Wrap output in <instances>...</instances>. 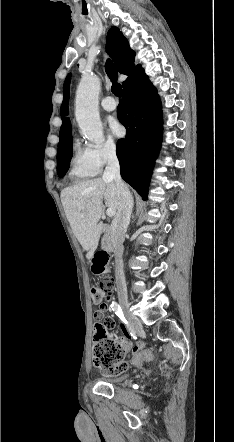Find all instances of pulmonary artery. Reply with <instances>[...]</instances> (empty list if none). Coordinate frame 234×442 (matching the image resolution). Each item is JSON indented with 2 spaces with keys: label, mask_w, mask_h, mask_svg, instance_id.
<instances>
[{
  "label": "pulmonary artery",
  "mask_w": 234,
  "mask_h": 442,
  "mask_svg": "<svg viewBox=\"0 0 234 442\" xmlns=\"http://www.w3.org/2000/svg\"><path fill=\"white\" fill-rule=\"evenodd\" d=\"M101 106L105 111L111 112L116 109L117 104L112 97L108 96L102 100Z\"/></svg>",
  "instance_id": "pulmonary-artery-1"
}]
</instances>
